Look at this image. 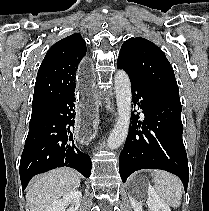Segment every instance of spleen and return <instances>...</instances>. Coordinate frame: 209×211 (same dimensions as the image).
<instances>
[{
    "instance_id": "1",
    "label": "spleen",
    "mask_w": 209,
    "mask_h": 211,
    "mask_svg": "<svg viewBox=\"0 0 209 211\" xmlns=\"http://www.w3.org/2000/svg\"><path fill=\"white\" fill-rule=\"evenodd\" d=\"M153 184L156 192L168 206H180L183 185L177 176L163 170H156L153 174Z\"/></svg>"
}]
</instances>
